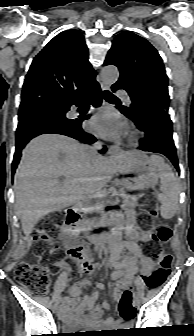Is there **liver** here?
I'll use <instances>...</instances> for the list:
<instances>
[{
    "label": "liver",
    "instance_id": "1",
    "mask_svg": "<svg viewBox=\"0 0 194 336\" xmlns=\"http://www.w3.org/2000/svg\"><path fill=\"white\" fill-rule=\"evenodd\" d=\"M118 170L116 160L99 157L93 161L87 146L67 136L46 134L32 139L23 150L14 178L24 234L29 236L45 215L85 196L99 195Z\"/></svg>",
    "mask_w": 194,
    "mask_h": 336
}]
</instances>
